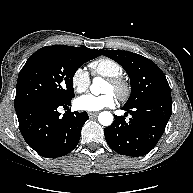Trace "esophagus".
Wrapping results in <instances>:
<instances>
[{"label": "esophagus", "mask_w": 193, "mask_h": 193, "mask_svg": "<svg viewBox=\"0 0 193 193\" xmlns=\"http://www.w3.org/2000/svg\"><path fill=\"white\" fill-rule=\"evenodd\" d=\"M97 115H98V112H89V113H88V116H89L90 118H95Z\"/></svg>", "instance_id": "obj_1"}]
</instances>
